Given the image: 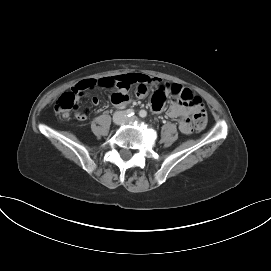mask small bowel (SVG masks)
Listing matches in <instances>:
<instances>
[{
    "mask_svg": "<svg viewBox=\"0 0 271 271\" xmlns=\"http://www.w3.org/2000/svg\"><path fill=\"white\" fill-rule=\"evenodd\" d=\"M96 85L111 89V101L117 106H125L131 102V97L128 94V89L131 86H136V95L141 99L147 95L149 87H155L157 91L152 97L150 108L156 113L163 110L164 104L167 102V95H173L175 98L167 110V115L170 118H180L179 129L183 134H190L193 131V125L189 117L196 114L197 107L182 100L184 94L192 96V92L177 83H167L143 73H125L98 80H83L77 83L73 89ZM92 103L98 105L99 99L93 97ZM85 117V112L78 114L79 119H85Z\"/></svg>",
    "mask_w": 271,
    "mask_h": 271,
    "instance_id": "1",
    "label": "small bowel"
}]
</instances>
